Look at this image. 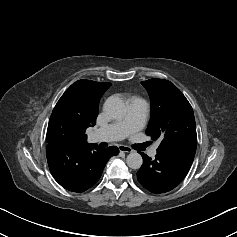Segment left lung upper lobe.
<instances>
[{
	"instance_id": "obj_1",
	"label": "left lung upper lobe",
	"mask_w": 237,
	"mask_h": 237,
	"mask_svg": "<svg viewBox=\"0 0 237 237\" xmlns=\"http://www.w3.org/2000/svg\"><path fill=\"white\" fill-rule=\"evenodd\" d=\"M151 100V119L147 135L162 141L158 154L193 162L197 134L193 109L174 84L168 80L142 81Z\"/></svg>"
}]
</instances>
